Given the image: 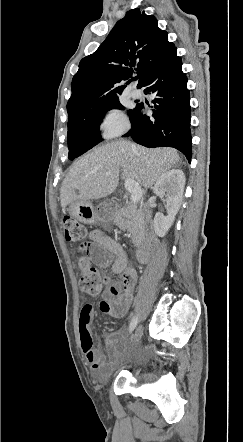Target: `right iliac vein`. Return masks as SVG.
<instances>
[{
  "label": "right iliac vein",
  "instance_id": "obj_1",
  "mask_svg": "<svg viewBox=\"0 0 243 442\" xmlns=\"http://www.w3.org/2000/svg\"><path fill=\"white\" fill-rule=\"evenodd\" d=\"M143 334V328L142 326H138L135 330L134 334L132 335V345L135 346L141 339Z\"/></svg>",
  "mask_w": 243,
  "mask_h": 442
}]
</instances>
